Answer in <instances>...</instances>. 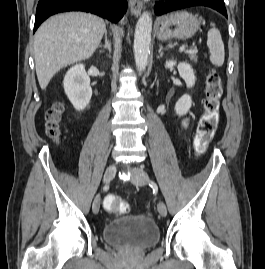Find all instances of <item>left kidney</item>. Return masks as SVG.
<instances>
[{"instance_id": "1", "label": "left kidney", "mask_w": 265, "mask_h": 269, "mask_svg": "<svg viewBox=\"0 0 265 269\" xmlns=\"http://www.w3.org/2000/svg\"><path fill=\"white\" fill-rule=\"evenodd\" d=\"M177 65V62L174 60H168L165 63V67L168 69L173 68ZM177 69L179 72L180 77L185 81L188 88L194 86L196 78L193 71V68L190 64L186 62H180L177 65ZM192 105L191 96L188 94L183 95L175 105V112L178 116H184Z\"/></svg>"}]
</instances>
